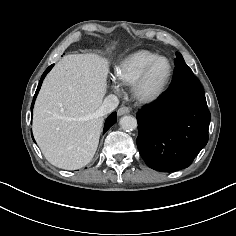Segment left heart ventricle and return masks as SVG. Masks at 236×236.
<instances>
[{"label":"left heart ventricle","instance_id":"b2bd125f","mask_svg":"<svg viewBox=\"0 0 236 236\" xmlns=\"http://www.w3.org/2000/svg\"><path fill=\"white\" fill-rule=\"evenodd\" d=\"M168 72V64L166 61H159L152 69L146 83L145 90L147 92H155L164 82Z\"/></svg>","mask_w":236,"mask_h":236}]
</instances>
